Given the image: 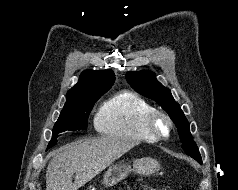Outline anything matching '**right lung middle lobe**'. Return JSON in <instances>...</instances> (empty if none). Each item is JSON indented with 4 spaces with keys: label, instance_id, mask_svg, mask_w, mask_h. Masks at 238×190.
<instances>
[{
    "label": "right lung middle lobe",
    "instance_id": "right-lung-middle-lobe-1",
    "mask_svg": "<svg viewBox=\"0 0 238 190\" xmlns=\"http://www.w3.org/2000/svg\"><path fill=\"white\" fill-rule=\"evenodd\" d=\"M103 94L104 93L83 96L78 98L73 104L65 105L54 125L52 139L48 148L56 144V135L58 133L66 130L76 131L86 129L90 111L92 110L94 103Z\"/></svg>",
    "mask_w": 238,
    "mask_h": 190
}]
</instances>
